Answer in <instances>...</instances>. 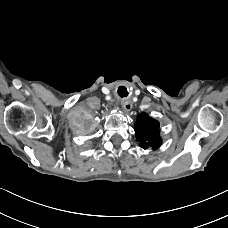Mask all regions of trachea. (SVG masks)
Masks as SVG:
<instances>
[{
    "mask_svg": "<svg viewBox=\"0 0 228 228\" xmlns=\"http://www.w3.org/2000/svg\"><path fill=\"white\" fill-rule=\"evenodd\" d=\"M118 95L120 96V97H127L128 96V91H127V89H126V87H124V86H120L119 88H118Z\"/></svg>",
    "mask_w": 228,
    "mask_h": 228,
    "instance_id": "obj_1",
    "label": "trachea"
}]
</instances>
